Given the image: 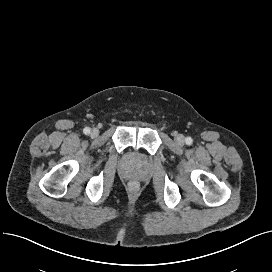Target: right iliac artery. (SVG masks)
Here are the masks:
<instances>
[{"label": "right iliac artery", "mask_w": 272, "mask_h": 272, "mask_svg": "<svg viewBox=\"0 0 272 272\" xmlns=\"http://www.w3.org/2000/svg\"><path fill=\"white\" fill-rule=\"evenodd\" d=\"M83 132L84 134L88 135L90 133V128L89 127L84 128Z\"/></svg>", "instance_id": "right-iliac-artery-1"}]
</instances>
